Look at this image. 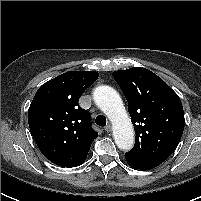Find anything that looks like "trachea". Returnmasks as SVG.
<instances>
[{"label":"trachea","instance_id":"3493384b","mask_svg":"<svg viewBox=\"0 0 201 201\" xmlns=\"http://www.w3.org/2000/svg\"><path fill=\"white\" fill-rule=\"evenodd\" d=\"M95 122L101 127L105 126L107 123L106 118L103 115H98L95 119Z\"/></svg>","mask_w":201,"mask_h":201}]
</instances>
